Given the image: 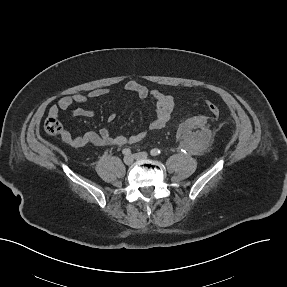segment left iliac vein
I'll use <instances>...</instances> for the list:
<instances>
[{"label":"left iliac vein","instance_id":"obj_1","mask_svg":"<svg viewBox=\"0 0 287 287\" xmlns=\"http://www.w3.org/2000/svg\"><path fill=\"white\" fill-rule=\"evenodd\" d=\"M135 160H146L148 154L146 152L136 153L132 156Z\"/></svg>","mask_w":287,"mask_h":287}]
</instances>
